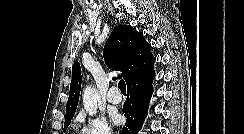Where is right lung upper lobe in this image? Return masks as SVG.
<instances>
[{
    "label": "right lung upper lobe",
    "instance_id": "1",
    "mask_svg": "<svg viewBox=\"0 0 244 134\" xmlns=\"http://www.w3.org/2000/svg\"><path fill=\"white\" fill-rule=\"evenodd\" d=\"M103 56L109 68L123 72L118 78L123 77L127 86L155 74V59L150 51V44L146 42L142 33L129 25H118L112 31L105 43ZM81 80V68L79 63L75 62L72 67V81L65 117L73 116L75 113Z\"/></svg>",
    "mask_w": 244,
    "mask_h": 134
}]
</instances>
